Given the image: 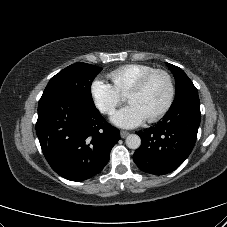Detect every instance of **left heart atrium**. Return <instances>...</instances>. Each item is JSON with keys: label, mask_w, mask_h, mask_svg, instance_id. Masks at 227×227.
Returning a JSON list of instances; mask_svg holds the SVG:
<instances>
[{"label": "left heart atrium", "mask_w": 227, "mask_h": 227, "mask_svg": "<svg viewBox=\"0 0 227 227\" xmlns=\"http://www.w3.org/2000/svg\"><path fill=\"white\" fill-rule=\"evenodd\" d=\"M145 120L146 117L140 109L131 103L114 113L112 116L113 123L123 128L136 127L142 124Z\"/></svg>", "instance_id": "39dd6f15"}]
</instances>
